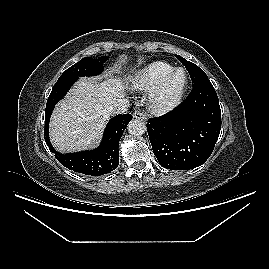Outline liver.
<instances>
[{
    "label": "liver",
    "instance_id": "1",
    "mask_svg": "<svg viewBox=\"0 0 269 269\" xmlns=\"http://www.w3.org/2000/svg\"><path fill=\"white\" fill-rule=\"evenodd\" d=\"M127 79H80L57 105L50 122V138L61 152L80 150L92 145L102 134L110 117L108 107L125 97Z\"/></svg>",
    "mask_w": 269,
    "mask_h": 269
}]
</instances>
